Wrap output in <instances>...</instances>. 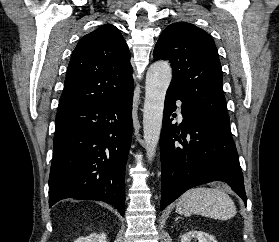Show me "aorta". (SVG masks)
I'll use <instances>...</instances> for the list:
<instances>
[{
    "label": "aorta",
    "mask_w": 279,
    "mask_h": 242,
    "mask_svg": "<svg viewBox=\"0 0 279 242\" xmlns=\"http://www.w3.org/2000/svg\"><path fill=\"white\" fill-rule=\"evenodd\" d=\"M171 79L172 69L166 61L153 63L146 74L143 132L149 161L153 159L160 139L164 100Z\"/></svg>",
    "instance_id": "1"
}]
</instances>
